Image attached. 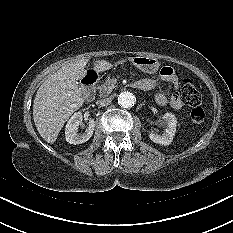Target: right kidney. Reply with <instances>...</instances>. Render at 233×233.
I'll list each match as a JSON object with an SVG mask.
<instances>
[{"label": "right kidney", "mask_w": 233, "mask_h": 233, "mask_svg": "<svg viewBox=\"0 0 233 233\" xmlns=\"http://www.w3.org/2000/svg\"><path fill=\"white\" fill-rule=\"evenodd\" d=\"M82 120V113L76 112L67 122V125L65 127V138L66 141L70 144H82L92 137L95 128V121L90 118L88 122V127L85 132L78 133V126L81 124Z\"/></svg>", "instance_id": "obj_1"}]
</instances>
